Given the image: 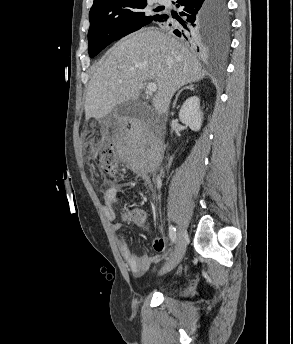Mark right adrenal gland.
<instances>
[{"label":"right adrenal gland","instance_id":"obj_1","mask_svg":"<svg viewBox=\"0 0 293 344\" xmlns=\"http://www.w3.org/2000/svg\"><path fill=\"white\" fill-rule=\"evenodd\" d=\"M186 89L191 90V91H194V84H190V85L184 87L183 89H181V90L177 93V95H176V97H175V100H174V102H173V108H175L176 103H177V100H178V97L180 96V94H181L184 90H186Z\"/></svg>","mask_w":293,"mask_h":344}]
</instances>
